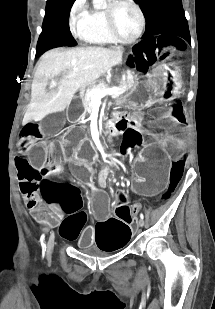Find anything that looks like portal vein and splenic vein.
I'll use <instances>...</instances> for the list:
<instances>
[{
  "label": "portal vein and splenic vein",
  "instance_id": "1",
  "mask_svg": "<svg viewBox=\"0 0 215 309\" xmlns=\"http://www.w3.org/2000/svg\"><path fill=\"white\" fill-rule=\"evenodd\" d=\"M120 86H112V88H102V90H94V92H88L92 96H106V94H122Z\"/></svg>",
  "mask_w": 215,
  "mask_h": 309
}]
</instances>
